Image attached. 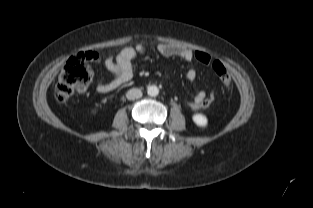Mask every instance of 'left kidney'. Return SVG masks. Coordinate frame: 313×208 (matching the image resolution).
Here are the masks:
<instances>
[{
    "label": "left kidney",
    "mask_w": 313,
    "mask_h": 208,
    "mask_svg": "<svg viewBox=\"0 0 313 208\" xmlns=\"http://www.w3.org/2000/svg\"><path fill=\"white\" fill-rule=\"evenodd\" d=\"M192 119L194 123L199 127H205L207 125V118L202 114H194Z\"/></svg>",
    "instance_id": "left-kidney-1"
}]
</instances>
